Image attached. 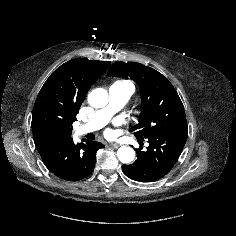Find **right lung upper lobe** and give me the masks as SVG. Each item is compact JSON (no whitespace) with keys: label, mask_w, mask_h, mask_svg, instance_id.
Returning <instances> with one entry per match:
<instances>
[{"label":"right lung upper lobe","mask_w":236,"mask_h":236,"mask_svg":"<svg viewBox=\"0 0 236 236\" xmlns=\"http://www.w3.org/2000/svg\"><path fill=\"white\" fill-rule=\"evenodd\" d=\"M110 64L108 61L76 58L62 64L49 76L32 112L34 142L71 138L72 124L89 88Z\"/></svg>","instance_id":"obj_1"}]
</instances>
